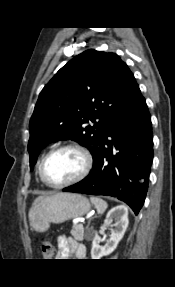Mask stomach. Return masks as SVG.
<instances>
[{"label": "stomach", "instance_id": "1", "mask_svg": "<svg viewBox=\"0 0 175 287\" xmlns=\"http://www.w3.org/2000/svg\"><path fill=\"white\" fill-rule=\"evenodd\" d=\"M91 209L89 200L76 193H57L35 203L29 212V223L33 230L45 232L50 224H61L82 217Z\"/></svg>", "mask_w": 175, "mask_h": 287}]
</instances>
